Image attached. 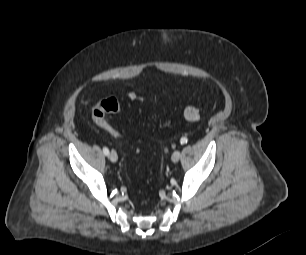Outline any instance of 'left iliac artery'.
Listing matches in <instances>:
<instances>
[{
	"instance_id": "1",
	"label": "left iliac artery",
	"mask_w": 306,
	"mask_h": 255,
	"mask_svg": "<svg viewBox=\"0 0 306 255\" xmlns=\"http://www.w3.org/2000/svg\"><path fill=\"white\" fill-rule=\"evenodd\" d=\"M187 141H188L187 138H186V137H183V138H181L180 143H181V144H186Z\"/></svg>"
}]
</instances>
